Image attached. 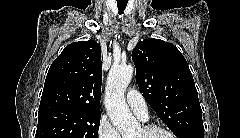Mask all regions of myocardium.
<instances>
[{
	"instance_id": "f54148a6",
	"label": "myocardium",
	"mask_w": 240,
	"mask_h": 138,
	"mask_svg": "<svg viewBox=\"0 0 240 138\" xmlns=\"http://www.w3.org/2000/svg\"><path fill=\"white\" fill-rule=\"evenodd\" d=\"M142 130L146 134L161 132V133L165 134L167 138H173L172 133L168 129H166V128L160 126V125H157V124H146V125L143 126Z\"/></svg>"
}]
</instances>
